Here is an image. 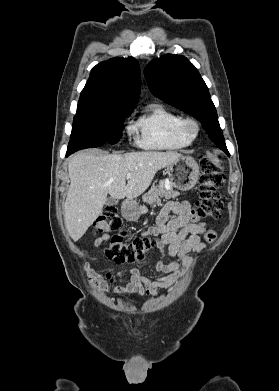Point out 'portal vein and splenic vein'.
<instances>
[{
  "instance_id": "obj_1",
  "label": "portal vein and splenic vein",
  "mask_w": 279,
  "mask_h": 391,
  "mask_svg": "<svg viewBox=\"0 0 279 391\" xmlns=\"http://www.w3.org/2000/svg\"><path fill=\"white\" fill-rule=\"evenodd\" d=\"M130 177H131V175H130V174H128V175H127V179H130Z\"/></svg>"
}]
</instances>
